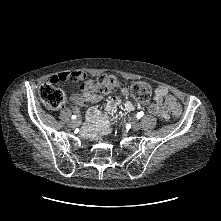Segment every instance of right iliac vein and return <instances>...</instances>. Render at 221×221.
I'll list each match as a JSON object with an SVG mask.
<instances>
[{
	"instance_id": "1",
	"label": "right iliac vein",
	"mask_w": 221,
	"mask_h": 221,
	"mask_svg": "<svg viewBox=\"0 0 221 221\" xmlns=\"http://www.w3.org/2000/svg\"><path fill=\"white\" fill-rule=\"evenodd\" d=\"M80 121L79 120H73L70 122V127L75 128L79 125Z\"/></svg>"
}]
</instances>
